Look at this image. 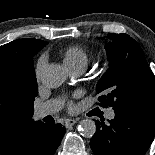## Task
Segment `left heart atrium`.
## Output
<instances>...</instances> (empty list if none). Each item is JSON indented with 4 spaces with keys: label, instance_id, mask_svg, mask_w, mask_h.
I'll return each instance as SVG.
<instances>
[{
    "label": "left heart atrium",
    "instance_id": "left-heart-atrium-1",
    "mask_svg": "<svg viewBox=\"0 0 155 155\" xmlns=\"http://www.w3.org/2000/svg\"><path fill=\"white\" fill-rule=\"evenodd\" d=\"M70 108H71V109H73V106H72V105H70Z\"/></svg>",
    "mask_w": 155,
    "mask_h": 155
}]
</instances>
